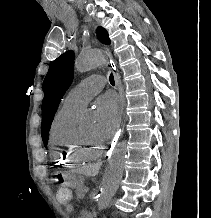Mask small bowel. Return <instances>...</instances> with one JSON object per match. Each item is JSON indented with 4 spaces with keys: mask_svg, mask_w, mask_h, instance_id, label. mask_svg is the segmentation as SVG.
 Segmentation results:
<instances>
[{
    "mask_svg": "<svg viewBox=\"0 0 211 218\" xmlns=\"http://www.w3.org/2000/svg\"><path fill=\"white\" fill-rule=\"evenodd\" d=\"M67 211H71L73 209V206L71 204H68L66 206Z\"/></svg>",
    "mask_w": 211,
    "mask_h": 218,
    "instance_id": "small-bowel-1",
    "label": "small bowel"
}]
</instances>
